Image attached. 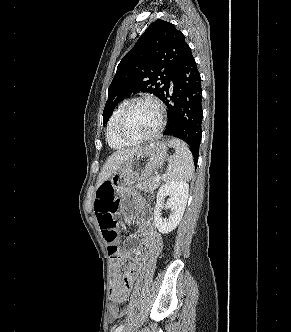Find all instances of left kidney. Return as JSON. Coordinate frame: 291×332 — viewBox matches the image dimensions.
I'll list each match as a JSON object with an SVG mask.
<instances>
[{"label": "left kidney", "mask_w": 291, "mask_h": 332, "mask_svg": "<svg viewBox=\"0 0 291 332\" xmlns=\"http://www.w3.org/2000/svg\"><path fill=\"white\" fill-rule=\"evenodd\" d=\"M188 192L189 185L186 182H169L159 188L154 209V221L159 232L167 234L179 225L186 208ZM166 196H170L166 207L171 213L168 218H163L160 211Z\"/></svg>", "instance_id": "obj_1"}]
</instances>
